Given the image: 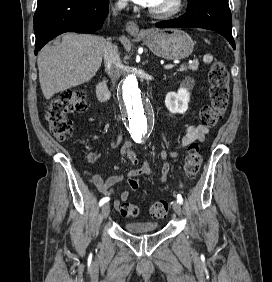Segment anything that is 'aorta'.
Wrapping results in <instances>:
<instances>
[{"mask_svg": "<svg viewBox=\"0 0 272 282\" xmlns=\"http://www.w3.org/2000/svg\"><path fill=\"white\" fill-rule=\"evenodd\" d=\"M120 95L123 115L132 138L147 137L153 127L154 110L134 74L125 77Z\"/></svg>", "mask_w": 272, "mask_h": 282, "instance_id": "1", "label": "aorta"}]
</instances>
